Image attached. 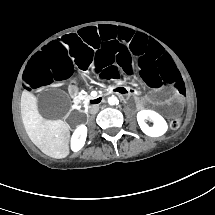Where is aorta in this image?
I'll use <instances>...</instances> for the list:
<instances>
[{
  "instance_id": "aorta-1",
  "label": "aorta",
  "mask_w": 215,
  "mask_h": 215,
  "mask_svg": "<svg viewBox=\"0 0 215 215\" xmlns=\"http://www.w3.org/2000/svg\"><path fill=\"white\" fill-rule=\"evenodd\" d=\"M118 101V98L116 96H111L108 98L109 105H115Z\"/></svg>"
}]
</instances>
